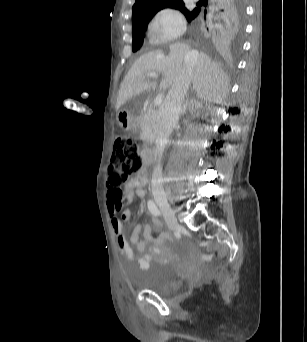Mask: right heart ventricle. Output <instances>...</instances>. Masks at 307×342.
<instances>
[{"instance_id": "1", "label": "right heart ventricle", "mask_w": 307, "mask_h": 342, "mask_svg": "<svg viewBox=\"0 0 307 342\" xmlns=\"http://www.w3.org/2000/svg\"><path fill=\"white\" fill-rule=\"evenodd\" d=\"M145 44H146V48L145 50L146 51H150V52H153L155 51V45L152 41L148 40L146 37H145Z\"/></svg>"}]
</instances>
